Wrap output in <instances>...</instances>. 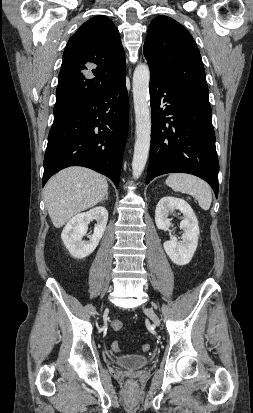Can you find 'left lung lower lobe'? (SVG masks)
<instances>
[{"label":"left lung lower lobe","mask_w":253,"mask_h":413,"mask_svg":"<svg viewBox=\"0 0 253 413\" xmlns=\"http://www.w3.org/2000/svg\"><path fill=\"white\" fill-rule=\"evenodd\" d=\"M151 148L146 183L166 173H189L218 195L219 162L211 107L151 73Z\"/></svg>","instance_id":"obj_1"}]
</instances>
